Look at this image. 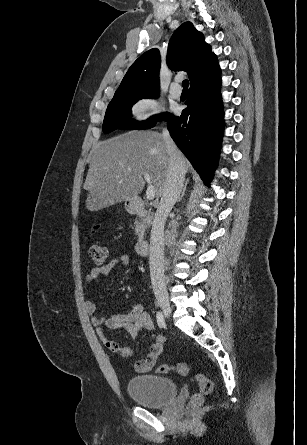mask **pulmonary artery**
<instances>
[{
	"mask_svg": "<svg viewBox=\"0 0 307 445\" xmlns=\"http://www.w3.org/2000/svg\"><path fill=\"white\" fill-rule=\"evenodd\" d=\"M175 80L176 81L173 82V84H172L173 89H171V94L175 97H179L181 92L178 89H180V87H181V84L179 82L181 80V77L177 76V77H175Z\"/></svg>",
	"mask_w": 307,
	"mask_h": 445,
	"instance_id": "e3ab8cb5",
	"label": "pulmonary artery"
}]
</instances>
